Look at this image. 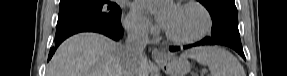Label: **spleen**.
Returning a JSON list of instances; mask_svg holds the SVG:
<instances>
[{
	"instance_id": "3e777b00",
	"label": "spleen",
	"mask_w": 287,
	"mask_h": 76,
	"mask_svg": "<svg viewBox=\"0 0 287 76\" xmlns=\"http://www.w3.org/2000/svg\"><path fill=\"white\" fill-rule=\"evenodd\" d=\"M208 66L211 76H246L238 59L219 46H202L189 49L181 55Z\"/></svg>"
}]
</instances>
